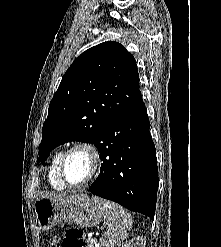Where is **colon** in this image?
<instances>
[{"instance_id": "colon-1", "label": "colon", "mask_w": 221, "mask_h": 247, "mask_svg": "<svg viewBox=\"0 0 221 247\" xmlns=\"http://www.w3.org/2000/svg\"><path fill=\"white\" fill-rule=\"evenodd\" d=\"M45 247H86V241L79 228L69 227L61 237L48 240Z\"/></svg>"}]
</instances>
